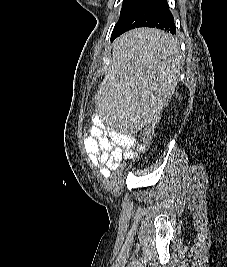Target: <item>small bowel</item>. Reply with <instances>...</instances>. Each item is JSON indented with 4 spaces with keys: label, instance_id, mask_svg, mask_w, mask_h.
I'll return each mask as SVG.
<instances>
[{
    "label": "small bowel",
    "instance_id": "small-bowel-1",
    "mask_svg": "<svg viewBox=\"0 0 227 267\" xmlns=\"http://www.w3.org/2000/svg\"><path fill=\"white\" fill-rule=\"evenodd\" d=\"M137 144L138 141L135 137H124V134L117 131H105L99 118L93 122L84 139V148L90 162L94 166L105 165L100 169V173L104 177L109 175V170L117 168L126 155L145 150V147L137 149Z\"/></svg>",
    "mask_w": 227,
    "mask_h": 267
}]
</instances>
